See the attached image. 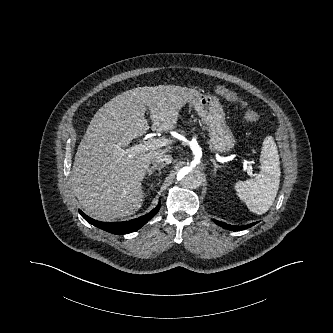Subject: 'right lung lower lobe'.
Here are the masks:
<instances>
[{"instance_id": "98d812e1", "label": "right lung lower lobe", "mask_w": 333, "mask_h": 333, "mask_svg": "<svg viewBox=\"0 0 333 333\" xmlns=\"http://www.w3.org/2000/svg\"><path fill=\"white\" fill-rule=\"evenodd\" d=\"M161 206V203H159L155 209H153L150 213L141 216L139 218L130 220L128 222H101L97 221L95 219H92L88 217L86 214H84L81 210L80 215L90 224L103 229L107 232L114 233V234H126L131 233L139 228H141L145 223H147L152 217L156 215V213L159 211Z\"/></svg>"}]
</instances>
